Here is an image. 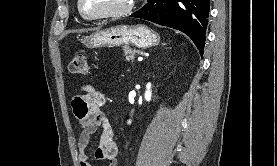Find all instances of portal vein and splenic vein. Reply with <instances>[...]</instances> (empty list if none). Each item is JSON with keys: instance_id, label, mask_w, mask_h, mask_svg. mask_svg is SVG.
I'll return each instance as SVG.
<instances>
[{"instance_id": "1", "label": "portal vein and splenic vein", "mask_w": 277, "mask_h": 166, "mask_svg": "<svg viewBox=\"0 0 277 166\" xmlns=\"http://www.w3.org/2000/svg\"><path fill=\"white\" fill-rule=\"evenodd\" d=\"M143 60V57H138V61H142Z\"/></svg>"}]
</instances>
